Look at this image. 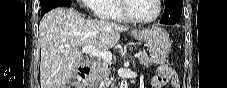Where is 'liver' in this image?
Returning <instances> with one entry per match:
<instances>
[{"label": "liver", "mask_w": 227, "mask_h": 88, "mask_svg": "<svg viewBox=\"0 0 227 88\" xmlns=\"http://www.w3.org/2000/svg\"><path fill=\"white\" fill-rule=\"evenodd\" d=\"M129 28L104 20H86L72 8H56L39 24L41 88H64L82 59L81 47L113 48Z\"/></svg>", "instance_id": "6515ba94"}]
</instances>
